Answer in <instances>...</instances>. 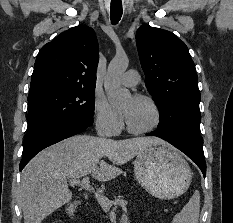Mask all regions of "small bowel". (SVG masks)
<instances>
[{
	"label": "small bowel",
	"mask_w": 233,
	"mask_h": 223,
	"mask_svg": "<svg viewBox=\"0 0 233 223\" xmlns=\"http://www.w3.org/2000/svg\"><path fill=\"white\" fill-rule=\"evenodd\" d=\"M121 223H131V220L128 215H123Z\"/></svg>",
	"instance_id": "obj_1"
}]
</instances>
